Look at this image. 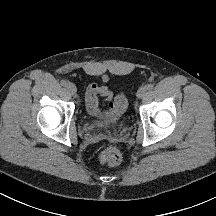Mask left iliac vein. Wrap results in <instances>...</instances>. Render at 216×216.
I'll return each mask as SVG.
<instances>
[{
  "mask_svg": "<svg viewBox=\"0 0 216 216\" xmlns=\"http://www.w3.org/2000/svg\"><path fill=\"white\" fill-rule=\"evenodd\" d=\"M146 92H147V87L146 86L140 87L138 89V91H137V97L139 99H142L145 96Z\"/></svg>",
  "mask_w": 216,
  "mask_h": 216,
  "instance_id": "obj_1",
  "label": "left iliac vein"
}]
</instances>
